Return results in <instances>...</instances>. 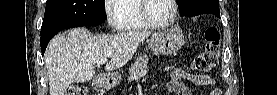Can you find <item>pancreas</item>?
Returning <instances> with one entry per match:
<instances>
[{
    "instance_id": "1",
    "label": "pancreas",
    "mask_w": 277,
    "mask_h": 95,
    "mask_svg": "<svg viewBox=\"0 0 277 95\" xmlns=\"http://www.w3.org/2000/svg\"><path fill=\"white\" fill-rule=\"evenodd\" d=\"M149 62V58L146 54L141 55L139 58H137L134 63L131 64L129 68V77L128 82H132L136 80L139 76V74L148 68L147 64Z\"/></svg>"
}]
</instances>
